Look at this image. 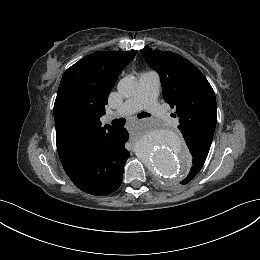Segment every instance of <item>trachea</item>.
Here are the masks:
<instances>
[{
  "mask_svg": "<svg viewBox=\"0 0 260 260\" xmlns=\"http://www.w3.org/2000/svg\"><path fill=\"white\" fill-rule=\"evenodd\" d=\"M151 115L147 112H141L138 114V118H144V117H150ZM126 120L124 118H120V119H114L112 121V125L115 128H121L125 125Z\"/></svg>",
  "mask_w": 260,
  "mask_h": 260,
  "instance_id": "1",
  "label": "trachea"
}]
</instances>
